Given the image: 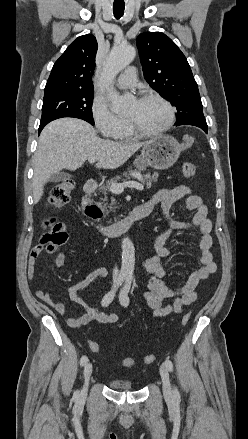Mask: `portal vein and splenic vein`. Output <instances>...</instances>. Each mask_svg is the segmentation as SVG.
<instances>
[{"mask_svg":"<svg viewBox=\"0 0 248 439\" xmlns=\"http://www.w3.org/2000/svg\"><path fill=\"white\" fill-rule=\"evenodd\" d=\"M89 163H94L95 159H88ZM124 188H135L142 191L144 186L141 183L135 181H126L123 183H112L110 186V191L115 194H121Z\"/></svg>","mask_w":248,"mask_h":439,"instance_id":"1","label":"portal vein and splenic vein"}]
</instances>
